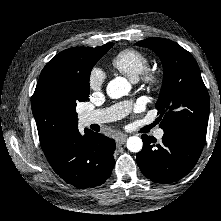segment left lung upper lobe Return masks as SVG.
<instances>
[{"instance_id":"1","label":"left lung upper lobe","mask_w":221,"mask_h":221,"mask_svg":"<svg viewBox=\"0 0 221 221\" xmlns=\"http://www.w3.org/2000/svg\"><path fill=\"white\" fill-rule=\"evenodd\" d=\"M160 58L164 76L156 108L160 127L205 142L210 101L200 69L193 56L165 38H148L137 43Z\"/></svg>"}]
</instances>
